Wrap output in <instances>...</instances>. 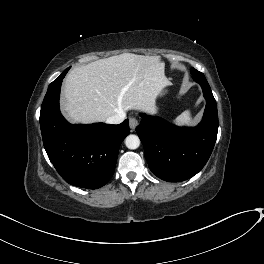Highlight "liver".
<instances>
[{
    "label": "liver",
    "mask_w": 264,
    "mask_h": 264,
    "mask_svg": "<svg viewBox=\"0 0 264 264\" xmlns=\"http://www.w3.org/2000/svg\"><path fill=\"white\" fill-rule=\"evenodd\" d=\"M169 84L158 56L123 53L72 69L64 80L62 110L83 124L104 122L120 111L154 112Z\"/></svg>",
    "instance_id": "liver-1"
}]
</instances>
